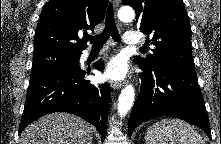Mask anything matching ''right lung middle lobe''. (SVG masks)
Here are the masks:
<instances>
[{
	"mask_svg": "<svg viewBox=\"0 0 221 144\" xmlns=\"http://www.w3.org/2000/svg\"><path fill=\"white\" fill-rule=\"evenodd\" d=\"M81 53L45 51L34 53L30 80L44 75L59 67L77 63Z\"/></svg>",
	"mask_w": 221,
	"mask_h": 144,
	"instance_id": "right-lung-middle-lobe-1",
	"label": "right lung middle lobe"
}]
</instances>
